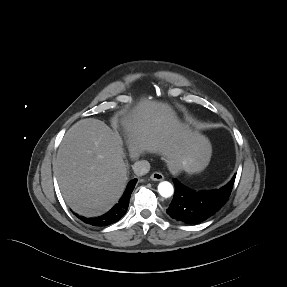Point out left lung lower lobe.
Wrapping results in <instances>:
<instances>
[{
    "label": "left lung lower lobe",
    "mask_w": 287,
    "mask_h": 287,
    "mask_svg": "<svg viewBox=\"0 0 287 287\" xmlns=\"http://www.w3.org/2000/svg\"><path fill=\"white\" fill-rule=\"evenodd\" d=\"M235 176L224 187L212 191H194L173 179L175 193L167 209V214L171 218L187 224H196L206 220L228 200Z\"/></svg>",
    "instance_id": "left-lung-lower-lobe-1"
}]
</instances>
